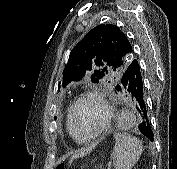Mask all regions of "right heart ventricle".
Masks as SVG:
<instances>
[{
  "mask_svg": "<svg viewBox=\"0 0 177 169\" xmlns=\"http://www.w3.org/2000/svg\"><path fill=\"white\" fill-rule=\"evenodd\" d=\"M70 110H71V107H69L68 111H67L66 129H67L68 134L77 142H80V143L87 142V141H81V140L77 139L76 136L74 135V133L72 131L71 124H70Z\"/></svg>",
  "mask_w": 177,
  "mask_h": 169,
  "instance_id": "obj_1",
  "label": "right heart ventricle"
}]
</instances>
